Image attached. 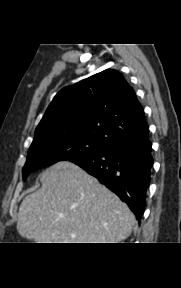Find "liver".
<instances>
[{"mask_svg":"<svg viewBox=\"0 0 181 288\" xmlns=\"http://www.w3.org/2000/svg\"><path fill=\"white\" fill-rule=\"evenodd\" d=\"M42 187L19 208L18 233L36 243H118L135 217L119 197L79 166L61 161L40 175Z\"/></svg>","mask_w":181,"mask_h":288,"instance_id":"6515ba94","label":"liver"}]
</instances>
